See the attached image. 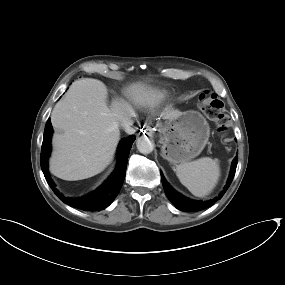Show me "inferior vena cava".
Wrapping results in <instances>:
<instances>
[{
  "mask_svg": "<svg viewBox=\"0 0 285 285\" xmlns=\"http://www.w3.org/2000/svg\"><path fill=\"white\" fill-rule=\"evenodd\" d=\"M134 124L133 115L126 116L121 120V126L128 134H134L135 129L132 127Z\"/></svg>",
  "mask_w": 285,
  "mask_h": 285,
  "instance_id": "obj_1",
  "label": "inferior vena cava"
}]
</instances>
